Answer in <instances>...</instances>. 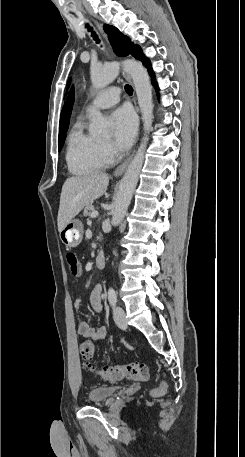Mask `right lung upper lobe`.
<instances>
[{"label": "right lung upper lobe", "mask_w": 245, "mask_h": 457, "mask_svg": "<svg viewBox=\"0 0 245 457\" xmlns=\"http://www.w3.org/2000/svg\"><path fill=\"white\" fill-rule=\"evenodd\" d=\"M74 103V89L71 90L67 102L65 103L60 116V128L68 127L69 118L72 112Z\"/></svg>", "instance_id": "cb5924a9"}]
</instances>
